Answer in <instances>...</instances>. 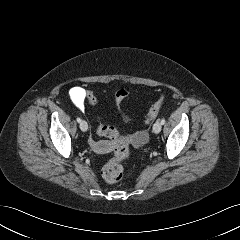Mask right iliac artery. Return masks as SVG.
I'll list each match as a JSON object with an SVG mask.
<instances>
[{
	"instance_id": "1",
	"label": "right iliac artery",
	"mask_w": 240,
	"mask_h": 240,
	"mask_svg": "<svg viewBox=\"0 0 240 240\" xmlns=\"http://www.w3.org/2000/svg\"><path fill=\"white\" fill-rule=\"evenodd\" d=\"M77 122L80 123L81 122V119L79 117H77Z\"/></svg>"
}]
</instances>
